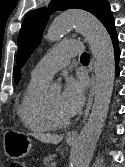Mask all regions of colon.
I'll list each match as a JSON object with an SVG mask.
<instances>
[{"instance_id": "1", "label": "colon", "mask_w": 125, "mask_h": 167, "mask_svg": "<svg viewBox=\"0 0 125 167\" xmlns=\"http://www.w3.org/2000/svg\"><path fill=\"white\" fill-rule=\"evenodd\" d=\"M9 167H26L24 162H13Z\"/></svg>"}]
</instances>
